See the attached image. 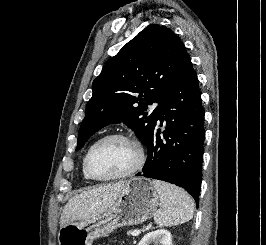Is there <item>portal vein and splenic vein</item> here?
<instances>
[{
    "mask_svg": "<svg viewBox=\"0 0 266 245\" xmlns=\"http://www.w3.org/2000/svg\"><path fill=\"white\" fill-rule=\"evenodd\" d=\"M141 231H132V233H130V235H132V237H138V235H140Z\"/></svg>",
    "mask_w": 266,
    "mask_h": 245,
    "instance_id": "18ae733b",
    "label": "portal vein and splenic vein"
}]
</instances>
